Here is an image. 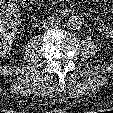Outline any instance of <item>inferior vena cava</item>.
<instances>
[{
    "label": "inferior vena cava",
    "instance_id": "inferior-vena-cava-1",
    "mask_svg": "<svg viewBox=\"0 0 113 113\" xmlns=\"http://www.w3.org/2000/svg\"><path fill=\"white\" fill-rule=\"evenodd\" d=\"M60 25H61V20L58 17H55V16H48L43 21V27L45 29L58 28Z\"/></svg>",
    "mask_w": 113,
    "mask_h": 113
}]
</instances>
